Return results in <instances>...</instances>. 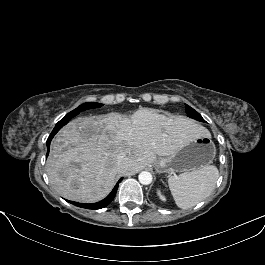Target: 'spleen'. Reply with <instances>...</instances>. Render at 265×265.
Instances as JSON below:
<instances>
[{
	"label": "spleen",
	"mask_w": 265,
	"mask_h": 265,
	"mask_svg": "<svg viewBox=\"0 0 265 265\" xmlns=\"http://www.w3.org/2000/svg\"><path fill=\"white\" fill-rule=\"evenodd\" d=\"M219 171L214 165L170 176L168 185L176 205L188 209L205 199L214 189Z\"/></svg>",
	"instance_id": "obj_1"
}]
</instances>
